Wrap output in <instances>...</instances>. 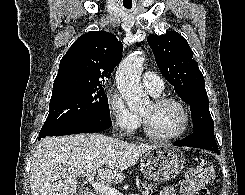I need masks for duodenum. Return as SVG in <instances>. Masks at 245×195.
I'll use <instances>...</instances> for the list:
<instances>
[{"mask_svg":"<svg viewBox=\"0 0 245 195\" xmlns=\"http://www.w3.org/2000/svg\"><path fill=\"white\" fill-rule=\"evenodd\" d=\"M88 195H97V194L92 192V193H88Z\"/></svg>","mask_w":245,"mask_h":195,"instance_id":"obj_1","label":"duodenum"}]
</instances>
